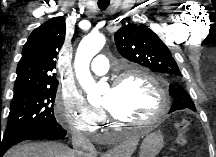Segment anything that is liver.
<instances>
[{
  "mask_svg": "<svg viewBox=\"0 0 216 157\" xmlns=\"http://www.w3.org/2000/svg\"><path fill=\"white\" fill-rule=\"evenodd\" d=\"M138 137H130L118 148L103 154V157H129L135 151ZM97 155L92 152L91 157ZM5 157H76L69 147L57 142H29L14 146Z\"/></svg>",
  "mask_w": 216,
  "mask_h": 157,
  "instance_id": "liver-1",
  "label": "liver"
}]
</instances>
